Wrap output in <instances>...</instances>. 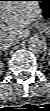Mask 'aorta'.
I'll return each mask as SVG.
<instances>
[{"label": "aorta", "mask_w": 50, "mask_h": 111, "mask_svg": "<svg viewBox=\"0 0 50 111\" xmlns=\"http://www.w3.org/2000/svg\"><path fill=\"white\" fill-rule=\"evenodd\" d=\"M28 44L29 49L35 53H42L46 50V43L40 37H31Z\"/></svg>", "instance_id": "762f6f07"}]
</instances>
